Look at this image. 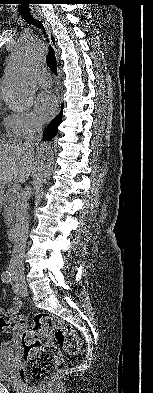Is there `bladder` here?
Masks as SVG:
<instances>
[{
	"label": "bladder",
	"mask_w": 153,
	"mask_h": 393,
	"mask_svg": "<svg viewBox=\"0 0 153 393\" xmlns=\"http://www.w3.org/2000/svg\"><path fill=\"white\" fill-rule=\"evenodd\" d=\"M17 370V364L14 361V350L11 347L0 348V381L13 383L17 379L15 373Z\"/></svg>",
	"instance_id": "obj_1"
}]
</instances>
